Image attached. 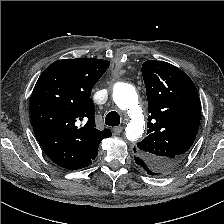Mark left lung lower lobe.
<instances>
[{"label": "left lung lower lobe", "mask_w": 224, "mask_h": 224, "mask_svg": "<svg viewBox=\"0 0 224 224\" xmlns=\"http://www.w3.org/2000/svg\"><path fill=\"white\" fill-rule=\"evenodd\" d=\"M134 160L141 171L147 172L149 175H153L154 172L150 169V167L140 158V157H134Z\"/></svg>", "instance_id": "1"}]
</instances>
